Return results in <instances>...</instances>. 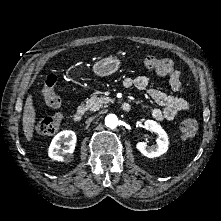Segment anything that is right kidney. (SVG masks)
I'll return each mask as SVG.
<instances>
[{"label": "right kidney", "instance_id": "obj_1", "mask_svg": "<svg viewBox=\"0 0 221 221\" xmlns=\"http://www.w3.org/2000/svg\"><path fill=\"white\" fill-rule=\"evenodd\" d=\"M76 134L71 130L58 133L52 140L48 156L57 161H70L76 146Z\"/></svg>", "mask_w": 221, "mask_h": 221}]
</instances>
